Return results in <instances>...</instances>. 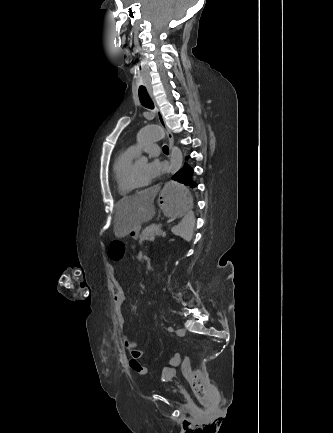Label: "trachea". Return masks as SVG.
Returning a JSON list of instances; mask_svg holds the SVG:
<instances>
[{
    "mask_svg": "<svg viewBox=\"0 0 333 433\" xmlns=\"http://www.w3.org/2000/svg\"><path fill=\"white\" fill-rule=\"evenodd\" d=\"M139 99H140L141 104L144 107L149 108V109H154V104H153L152 100L150 99V96H149L146 88L143 86H141L139 88ZM163 151L165 153H168V147L166 145L163 147Z\"/></svg>",
    "mask_w": 333,
    "mask_h": 433,
    "instance_id": "trachea-1",
    "label": "trachea"
}]
</instances>
